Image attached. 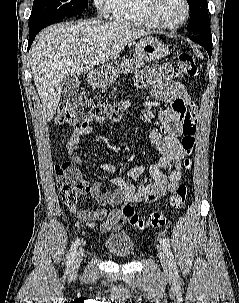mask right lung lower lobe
<instances>
[{
    "label": "right lung lower lobe",
    "mask_w": 239,
    "mask_h": 303,
    "mask_svg": "<svg viewBox=\"0 0 239 303\" xmlns=\"http://www.w3.org/2000/svg\"><path fill=\"white\" fill-rule=\"evenodd\" d=\"M70 16H72V15H70ZM65 17H69V16L54 17V18H52L51 20H49L47 22H42V23L36 24L34 26H30L29 27L28 50H29L34 38L36 37V35L38 34V32L40 30H42L43 28H45L48 25L61 22L63 20V18H65Z\"/></svg>",
    "instance_id": "1"
}]
</instances>
